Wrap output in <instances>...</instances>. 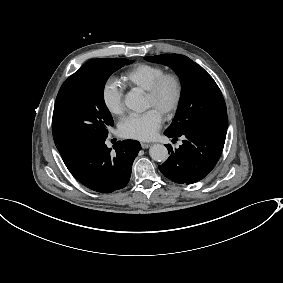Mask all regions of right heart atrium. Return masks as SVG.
Wrapping results in <instances>:
<instances>
[{"mask_svg":"<svg viewBox=\"0 0 283 283\" xmlns=\"http://www.w3.org/2000/svg\"><path fill=\"white\" fill-rule=\"evenodd\" d=\"M102 102L112 115H121L124 108V87L116 77L107 78L101 87Z\"/></svg>","mask_w":283,"mask_h":283,"instance_id":"obj_1","label":"right heart atrium"}]
</instances>
